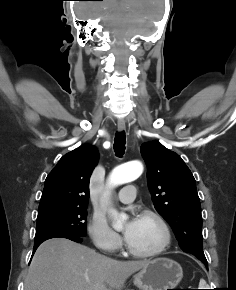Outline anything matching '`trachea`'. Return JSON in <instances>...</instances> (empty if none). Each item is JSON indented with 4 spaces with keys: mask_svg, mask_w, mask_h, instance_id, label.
Masks as SVG:
<instances>
[{
    "mask_svg": "<svg viewBox=\"0 0 236 290\" xmlns=\"http://www.w3.org/2000/svg\"><path fill=\"white\" fill-rule=\"evenodd\" d=\"M126 136L125 132H120L114 138V151L118 157H122L125 152Z\"/></svg>",
    "mask_w": 236,
    "mask_h": 290,
    "instance_id": "trachea-1",
    "label": "trachea"
}]
</instances>
